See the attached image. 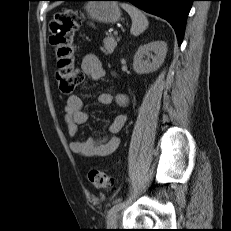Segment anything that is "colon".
<instances>
[{
	"instance_id": "obj_1",
	"label": "colon",
	"mask_w": 231,
	"mask_h": 231,
	"mask_svg": "<svg viewBox=\"0 0 231 231\" xmlns=\"http://www.w3.org/2000/svg\"><path fill=\"white\" fill-rule=\"evenodd\" d=\"M84 16L79 11H61L54 15L51 22L50 44L57 57L56 79L63 94H70L83 81V72L76 65V32L83 23ZM93 186L106 189L111 186L112 179L104 171L92 168L88 173Z\"/></svg>"
}]
</instances>
